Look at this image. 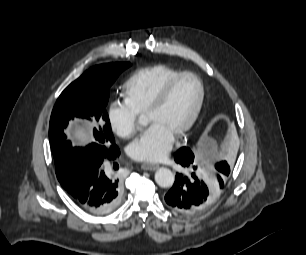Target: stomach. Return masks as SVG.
<instances>
[{"mask_svg":"<svg viewBox=\"0 0 306 255\" xmlns=\"http://www.w3.org/2000/svg\"><path fill=\"white\" fill-rule=\"evenodd\" d=\"M216 141L211 137H205L199 144V152L202 158L212 159L217 154Z\"/></svg>","mask_w":306,"mask_h":255,"instance_id":"0dacf381","label":"stomach"}]
</instances>
